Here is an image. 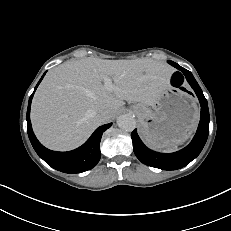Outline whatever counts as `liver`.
<instances>
[{
    "mask_svg": "<svg viewBox=\"0 0 231 231\" xmlns=\"http://www.w3.org/2000/svg\"><path fill=\"white\" fill-rule=\"evenodd\" d=\"M173 71L152 59L85 58L62 64L46 74L34 95L33 130L50 149L76 148L103 124L100 111H108L112 118L124 100L153 105L169 86ZM105 77L114 80L110 90L102 83Z\"/></svg>",
    "mask_w": 231,
    "mask_h": 231,
    "instance_id": "1",
    "label": "liver"
}]
</instances>
